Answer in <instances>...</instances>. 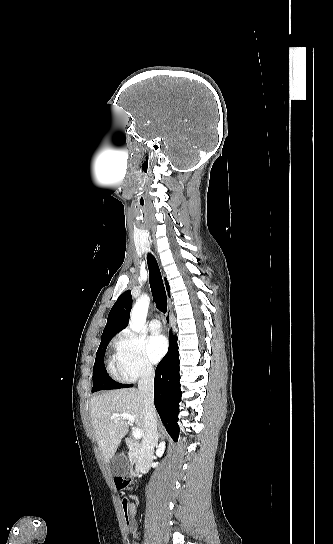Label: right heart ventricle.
I'll return each mask as SVG.
<instances>
[{"label":"right heart ventricle","instance_id":"right-heart-ventricle-1","mask_svg":"<svg viewBox=\"0 0 333 544\" xmlns=\"http://www.w3.org/2000/svg\"><path fill=\"white\" fill-rule=\"evenodd\" d=\"M110 368L113 370V365L112 364H110Z\"/></svg>","mask_w":333,"mask_h":544}]
</instances>
